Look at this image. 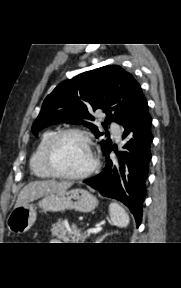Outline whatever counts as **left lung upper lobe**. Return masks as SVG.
<instances>
[{"label": "left lung upper lobe", "instance_id": "5c2ea615", "mask_svg": "<svg viewBox=\"0 0 181 288\" xmlns=\"http://www.w3.org/2000/svg\"><path fill=\"white\" fill-rule=\"evenodd\" d=\"M140 88L134 77L118 65L81 73L59 84L46 97L32 131L37 136L44 127L66 122L84 124L99 137L103 133L91 123L94 120L92 113L103 111L107 114L105 123H102L104 127L111 121L121 124ZM101 144L107 152L112 141L107 138Z\"/></svg>", "mask_w": 181, "mask_h": 288}]
</instances>
